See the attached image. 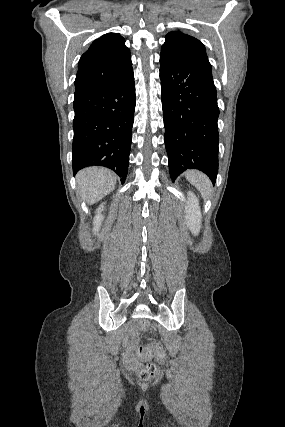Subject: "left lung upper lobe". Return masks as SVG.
<instances>
[{
	"label": "left lung upper lobe",
	"mask_w": 285,
	"mask_h": 427,
	"mask_svg": "<svg viewBox=\"0 0 285 427\" xmlns=\"http://www.w3.org/2000/svg\"><path fill=\"white\" fill-rule=\"evenodd\" d=\"M160 57L198 63L211 69L204 45L198 39L179 31L169 32L166 35Z\"/></svg>",
	"instance_id": "5c2ea615"
}]
</instances>
